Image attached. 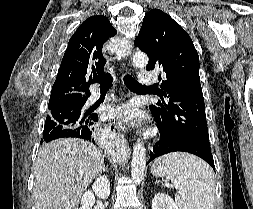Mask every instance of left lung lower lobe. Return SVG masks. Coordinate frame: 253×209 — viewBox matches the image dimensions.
I'll return each instance as SVG.
<instances>
[{
  "mask_svg": "<svg viewBox=\"0 0 253 209\" xmlns=\"http://www.w3.org/2000/svg\"><path fill=\"white\" fill-rule=\"evenodd\" d=\"M160 140L156 143L153 151L150 152V160L171 152H188L205 160L215 171L213 156L210 149L203 148L196 144L178 140H172L162 135L160 129Z\"/></svg>",
  "mask_w": 253,
  "mask_h": 209,
  "instance_id": "0a47b994",
  "label": "left lung lower lobe"
}]
</instances>
